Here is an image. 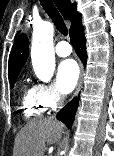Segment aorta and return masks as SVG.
Returning a JSON list of instances; mask_svg holds the SVG:
<instances>
[{"mask_svg": "<svg viewBox=\"0 0 114 156\" xmlns=\"http://www.w3.org/2000/svg\"><path fill=\"white\" fill-rule=\"evenodd\" d=\"M53 32L54 28L50 22L41 23L34 27L33 31L32 65L36 76L44 82L52 78L55 69Z\"/></svg>", "mask_w": 114, "mask_h": 156, "instance_id": "aorta-1", "label": "aorta"}]
</instances>
